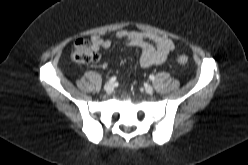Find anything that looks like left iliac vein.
I'll return each mask as SVG.
<instances>
[{"mask_svg":"<svg viewBox=\"0 0 248 165\" xmlns=\"http://www.w3.org/2000/svg\"><path fill=\"white\" fill-rule=\"evenodd\" d=\"M145 91H146V93H148V94H152L153 91H154V89H153V87H152L151 85H146V86H145Z\"/></svg>","mask_w":248,"mask_h":165,"instance_id":"4c4485c4","label":"left iliac vein"}]
</instances>
